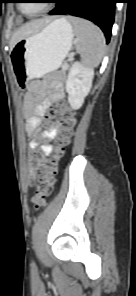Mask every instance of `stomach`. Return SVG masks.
I'll list each match as a JSON object with an SVG mask.
<instances>
[{
  "label": "stomach",
  "instance_id": "0dacf381",
  "mask_svg": "<svg viewBox=\"0 0 136 296\" xmlns=\"http://www.w3.org/2000/svg\"><path fill=\"white\" fill-rule=\"evenodd\" d=\"M73 36L71 24L59 18L19 40L10 53L18 90H27L23 84L56 71L71 49Z\"/></svg>",
  "mask_w": 136,
  "mask_h": 296
}]
</instances>
